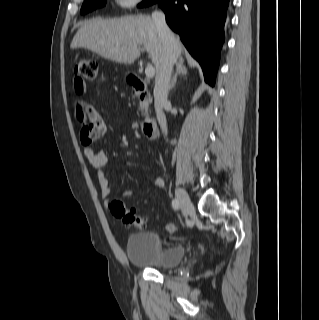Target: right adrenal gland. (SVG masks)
I'll use <instances>...</instances> for the list:
<instances>
[{"label":"right adrenal gland","mask_w":319,"mask_h":320,"mask_svg":"<svg viewBox=\"0 0 319 320\" xmlns=\"http://www.w3.org/2000/svg\"><path fill=\"white\" fill-rule=\"evenodd\" d=\"M188 71L186 66L184 65V59L182 57L179 58L176 64V72L173 75L171 82H170V89L172 90L175 87L177 76L178 75H187Z\"/></svg>","instance_id":"right-adrenal-gland-1"}]
</instances>
